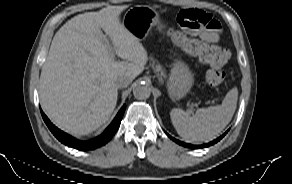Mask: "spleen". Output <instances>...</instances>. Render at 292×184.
<instances>
[{
    "label": "spleen",
    "instance_id": "spleen-1",
    "mask_svg": "<svg viewBox=\"0 0 292 184\" xmlns=\"http://www.w3.org/2000/svg\"><path fill=\"white\" fill-rule=\"evenodd\" d=\"M238 90L232 88L221 105L200 108L192 116L174 108L170 112L172 124L178 135L187 142H207L214 139L231 121L237 106Z\"/></svg>",
    "mask_w": 292,
    "mask_h": 184
}]
</instances>
